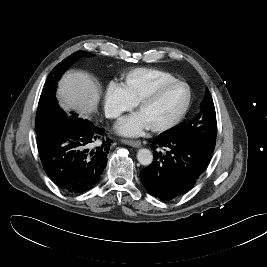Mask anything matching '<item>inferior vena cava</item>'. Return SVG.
Here are the masks:
<instances>
[{"label":"inferior vena cava","mask_w":267,"mask_h":267,"mask_svg":"<svg viewBox=\"0 0 267 267\" xmlns=\"http://www.w3.org/2000/svg\"><path fill=\"white\" fill-rule=\"evenodd\" d=\"M117 114H110L109 117H117Z\"/></svg>","instance_id":"inferior-vena-cava-1"}]
</instances>
